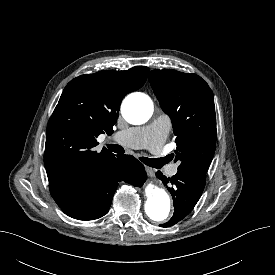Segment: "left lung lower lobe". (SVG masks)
I'll return each instance as SVG.
<instances>
[{
  "mask_svg": "<svg viewBox=\"0 0 275 275\" xmlns=\"http://www.w3.org/2000/svg\"><path fill=\"white\" fill-rule=\"evenodd\" d=\"M157 177L167 187L173 197L174 215L169 222L160 225L170 227L185 218L195 207L205 187V179L190 173L178 171L171 178H167L160 171Z\"/></svg>",
  "mask_w": 275,
  "mask_h": 275,
  "instance_id": "1",
  "label": "left lung lower lobe"
}]
</instances>
